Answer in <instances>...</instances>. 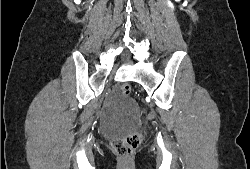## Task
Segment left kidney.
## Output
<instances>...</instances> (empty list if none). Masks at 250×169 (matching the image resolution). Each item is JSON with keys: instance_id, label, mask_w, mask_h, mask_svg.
<instances>
[{"instance_id": "5707ae66", "label": "left kidney", "mask_w": 250, "mask_h": 169, "mask_svg": "<svg viewBox=\"0 0 250 169\" xmlns=\"http://www.w3.org/2000/svg\"><path fill=\"white\" fill-rule=\"evenodd\" d=\"M167 4L168 6H170V8H174V4L173 2H171V0H168Z\"/></svg>"}]
</instances>
